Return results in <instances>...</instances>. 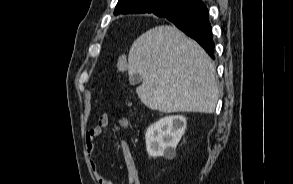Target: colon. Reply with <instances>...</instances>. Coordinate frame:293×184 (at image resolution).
I'll return each instance as SVG.
<instances>
[{
  "label": "colon",
  "mask_w": 293,
  "mask_h": 184,
  "mask_svg": "<svg viewBox=\"0 0 293 184\" xmlns=\"http://www.w3.org/2000/svg\"><path fill=\"white\" fill-rule=\"evenodd\" d=\"M117 67H118L119 71H121V72H125L127 70L128 61H127V58L124 55H119L118 56ZM120 126L125 127L126 126V121H122Z\"/></svg>",
  "instance_id": "1"
}]
</instances>
